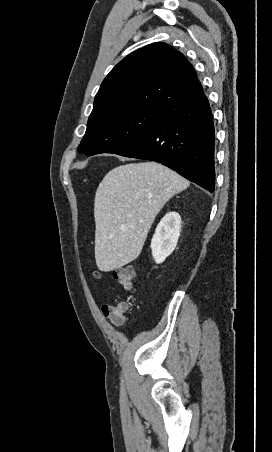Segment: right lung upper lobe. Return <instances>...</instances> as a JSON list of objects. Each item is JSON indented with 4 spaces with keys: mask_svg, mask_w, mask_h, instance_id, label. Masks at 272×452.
<instances>
[{
    "mask_svg": "<svg viewBox=\"0 0 272 452\" xmlns=\"http://www.w3.org/2000/svg\"><path fill=\"white\" fill-rule=\"evenodd\" d=\"M199 89L185 56L166 43H153L132 52L109 72L89 120L131 109L169 112Z\"/></svg>",
    "mask_w": 272,
    "mask_h": 452,
    "instance_id": "right-lung-upper-lobe-1",
    "label": "right lung upper lobe"
}]
</instances>
